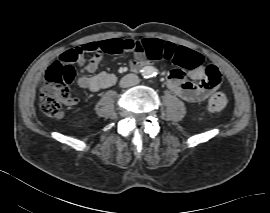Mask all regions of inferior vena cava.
<instances>
[{
    "label": "inferior vena cava",
    "mask_w": 270,
    "mask_h": 213,
    "mask_svg": "<svg viewBox=\"0 0 270 213\" xmlns=\"http://www.w3.org/2000/svg\"><path fill=\"white\" fill-rule=\"evenodd\" d=\"M139 77L135 74H127L120 81L121 87H131L139 83Z\"/></svg>",
    "instance_id": "1"
}]
</instances>
